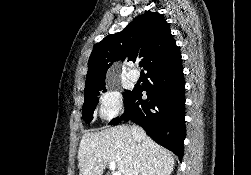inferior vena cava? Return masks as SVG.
<instances>
[{
	"label": "inferior vena cava",
	"instance_id": "inferior-vena-cava-1",
	"mask_svg": "<svg viewBox=\"0 0 251 175\" xmlns=\"http://www.w3.org/2000/svg\"><path fill=\"white\" fill-rule=\"evenodd\" d=\"M131 131L134 137H141V133L143 129H141V127H138V125H132ZM138 167H140V159H137V161H135L133 175H138V171H139Z\"/></svg>",
	"mask_w": 251,
	"mask_h": 175
}]
</instances>
